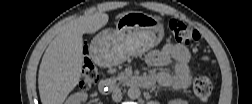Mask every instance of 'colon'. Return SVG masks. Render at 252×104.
Wrapping results in <instances>:
<instances>
[{
    "mask_svg": "<svg viewBox=\"0 0 252 104\" xmlns=\"http://www.w3.org/2000/svg\"><path fill=\"white\" fill-rule=\"evenodd\" d=\"M168 28L172 38L177 43L189 45L200 37L197 30L176 19L168 21ZM98 78L99 73L96 66L89 59H86L82 69L80 87L84 90L89 89ZM212 90V83L206 76L200 75L194 78L193 91L199 100L207 101L211 97Z\"/></svg>",
    "mask_w": 252,
    "mask_h": 104,
    "instance_id": "obj_1",
    "label": "colon"
}]
</instances>
